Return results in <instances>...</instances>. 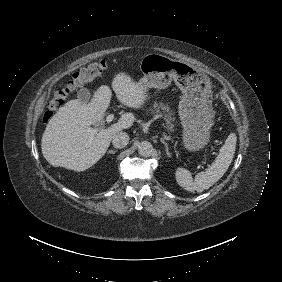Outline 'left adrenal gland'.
I'll return each instance as SVG.
<instances>
[{
  "instance_id": "left-adrenal-gland-1",
  "label": "left adrenal gland",
  "mask_w": 282,
  "mask_h": 282,
  "mask_svg": "<svg viewBox=\"0 0 282 282\" xmlns=\"http://www.w3.org/2000/svg\"><path fill=\"white\" fill-rule=\"evenodd\" d=\"M160 141H161V143L164 144L165 152L169 156L170 155V151H169V148H168V145H167L166 141L163 138H160Z\"/></svg>"
}]
</instances>
